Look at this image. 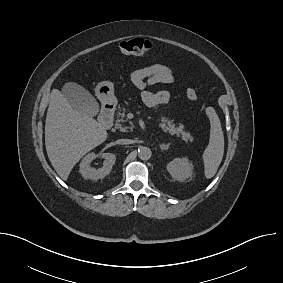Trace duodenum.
Instances as JSON below:
<instances>
[{
	"label": "duodenum",
	"instance_id": "duodenum-1",
	"mask_svg": "<svg viewBox=\"0 0 283 283\" xmlns=\"http://www.w3.org/2000/svg\"><path fill=\"white\" fill-rule=\"evenodd\" d=\"M114 107L112 105H105L100 113L99 122L102 128L109 129L113 124Z\"/></svg>",
	"mask_w": 283,
	"mask_h": 283
}]
</instances>
